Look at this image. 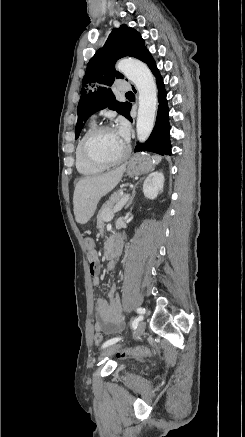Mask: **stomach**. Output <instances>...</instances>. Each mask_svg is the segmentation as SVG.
I'll list each match as a JSON object with an SVG mask.
<instances>
[{
  "label": "stomach",
  "mask_w": 245,
  "mask_h": 437,
  "mask_svg": "<svg viewBox=\"0 0 245 437\" xmlns=\"http://www.w3.org/2000/svg\"><path fill=\"white\" fill-rule=\"evenodd\" d=\"M153 167L152 158L149 155L136 154L129 160L126 173L129 177H135L150 172Z\"/></svg>",
  "instance_id": "1"
}]
</instances>
